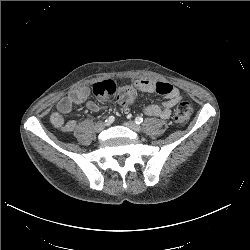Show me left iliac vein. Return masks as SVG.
<instances>
[{
	"label": "left iliac vein",
	"mask_w": 250,
	"mask_h": 250,
	"mask_svg": "<svg viewBox=\"0 0 250 250\" xmlns=\"http://www.w3.org/2000/svg\"><path fill=\"white\" fill-rule=\"evenodd\" d=\"M124 125L130 129L134 130L135 132H140L142 130V128L133 121H127L124 123Z\"/></svg>",
	"instance_id": "1"
}]
</instances>
